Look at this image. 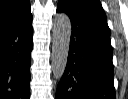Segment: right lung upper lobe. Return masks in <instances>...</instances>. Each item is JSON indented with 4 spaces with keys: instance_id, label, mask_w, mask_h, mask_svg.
I'll return each instance as SVG.
<instances>
[{
    "instance_id": "cb5924a9",
    "label": "right lung upper lobe",
    "mask_w": 128,
    "mask_h": 99,
    "mask_svg": "<svg viewBox=\"0 0 128 99\" xmlns=\"http://www.w3.org/2000/svg\"><path fill=\"white\" fill-rule=\"evenodd\" d=\"M29 9V0H0V28Z\"/></svg>"
}]
</instances>
